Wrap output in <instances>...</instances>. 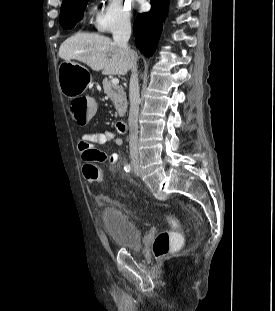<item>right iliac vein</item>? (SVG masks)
<instances>
[{
  "instance_id": "obj_1",
  "label": "right iliac vein",
  "mask_w": 275,
  "mask_h": 311,
  "mask_svg": "<svg viewBox=\"0 0 275 311\" xmlns=\"http://www.w3.org/2000/svg\"><path fill=\"white\" fill-rule=\"evenodd\" d=\"M133 163L137 164L138 163V159L133 160Z\"/></svg>"
}]
</instances>
